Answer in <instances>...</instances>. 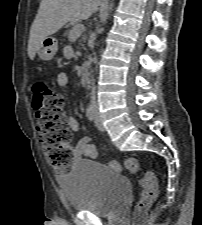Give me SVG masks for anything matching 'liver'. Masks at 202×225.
<instances>
[{"label":"liver","mask_w":202,"mask_h":225,"mask_svg":"<svg viewBox=\"0 0 202 225\" xmlns=\"http://www.w3.org/2000/svg\"><path fill=\"white\" fill-rule=\"evenodd\" d=\"M100 4L101 0H42L30 29V59H34L46 37L59 31L68 22L88 19Z\"/></svg>","instance_id":"1"}]
</instances>
